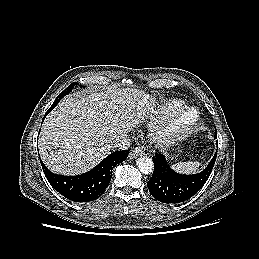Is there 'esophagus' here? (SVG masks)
<instances>
[{
  "mask_svg": "<svg viewBox=\"0 0 259 259\" xmlns=\"http://www.w3.org/2000/svg\"><path fill=\"white\" fill-rule=\"evenodd\" d=\"M144 153H145V152H144L143 147L138 146V147L133 148V149L130 151L129 157H130V158H137V157L143 155Z\"/></svg>",
  "mask_w": 259,
  "mask_h": 259,
  "instance_id": "34e87169",
  "label": "esophagus"
}]
</instances>
